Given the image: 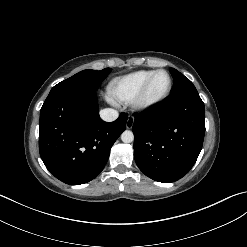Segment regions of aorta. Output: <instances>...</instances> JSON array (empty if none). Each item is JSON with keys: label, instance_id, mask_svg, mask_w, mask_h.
I'll list each match as a JSON object with an SVG mask.
<instances>
[{"label": "aorta", "instance_id": "aorta-1", "mask_svg": "<svg viewBox=\"0 0 247 247\" xmlns=\"http://www.w3.org/2000/svg\"><path fill=\"white\" fill-rule=\"evenodd\" d=\"M121 140L124 143H131L134 140V134L132 131L129 130H125L122 134H121Z\"/></svg>", "mask_w": 247, "mask_h": 247}]
</instances>
